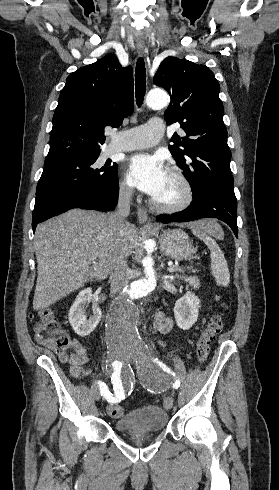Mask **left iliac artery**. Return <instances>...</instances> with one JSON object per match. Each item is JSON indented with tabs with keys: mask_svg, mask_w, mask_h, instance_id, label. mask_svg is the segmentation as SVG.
Here are the masks:
<instances>
[{
	"mask_svg": "<svg viewBox=\"0 0 279 490\" xmlns=\"http://www.w3.org/2000/svg\"><path fill=\"white\" fill-rule=\"evenodd\" d=\"M153 362L157 363L164 371L171 373L170 369L163 362L159 361L158 358H154ZM175 375V373H172Z\"/></svg>",
	"mask_w": 279,
	"mask_h": 490,
	"instance_id": "1",
	"label": "left iliac artery"
}]
</instances>
